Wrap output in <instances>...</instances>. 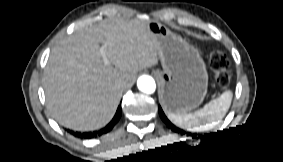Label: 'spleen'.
<instances>
[{
    "label": "spleen",
    "instance_id": "obj_1",
    "mask_svg": "<svg viewBox=\"0 0 283 162\" xmlns=\"http://www.w3.org/2000/svg\"><path fill=\"white\" fill-rule=\"evenodd\" d=\"M232 99L231 92H225L216 100L206 104L194 113L181 114L180 111H167L169 119L183 128H194L221 120L227 112Z\"/></svg>",
    "mask_w": 283,
    "mask_h": 162
}]
</instances>
